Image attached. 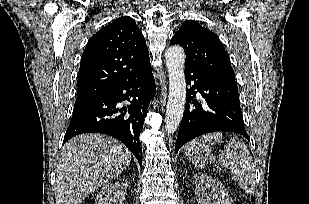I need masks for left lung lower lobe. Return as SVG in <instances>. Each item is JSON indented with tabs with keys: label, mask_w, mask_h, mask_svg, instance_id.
Segmentation results:
<instances>
[{
	"label": "left lung lower lobe",
	"mask_w": 309,
	"mask_h": 204,
	"mask_svg": "<svg viewBox=\"0 0 309 204\" xmlns=\"http://www.w3.org/2000/svg\"><path fill=\"white\" fill-rule=\"evenodd\" d=\"M188 89L185 111L179 128L175 152L200 135L214 132H235L249 140L239 105L237 84L196 68L185 67ZM199 92L203 104L195 99ZM193 105H189V104Z\"/></svg>",
	"instance_id": "left-lung-lower-lobe-1"
}]
</instances>
